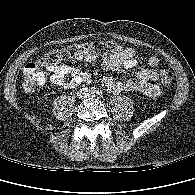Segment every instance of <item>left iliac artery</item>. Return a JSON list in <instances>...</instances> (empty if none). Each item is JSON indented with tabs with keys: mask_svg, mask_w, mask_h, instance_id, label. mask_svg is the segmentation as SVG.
I'll list each match as a JSON object with an SVG mask.
<instances>
[{
	"mask_svg": "<svg viewBox=\"0 0 195 195\" xmlns=\"http://www.w3.org/2000/svg\"><path fill=\"white\" fill-rule=\"evenodd\" d=\"M97 94H98L99 96H102V94H103L102 90H98V91H97Z\"/></svg>",
	"mask_w": 195,
	"mask_h": 195,
	"instance_id": "1",
	"label": "left iliac artery"
}]
</instances>
